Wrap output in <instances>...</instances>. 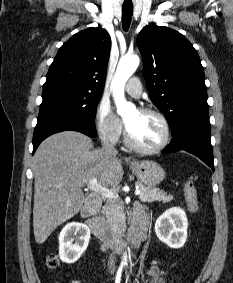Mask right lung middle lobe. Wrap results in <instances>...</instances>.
I'll return each mask as SVG.
<instances>
[{"label":"right lung middle lobe","instance_id":"1","mask_svg":"<svg viewBox=\"0 0 233 283\" xmlns=\"http://www.w3.org/2000/svg\"><path fill=\"white\" fill-rule=\"evenodd\" d=\"M102 92L66 84H44L38 120L63 116L94 124L97 103Z\"/></svg>","mask_w":233,"mask_h":283}]
</instances>
